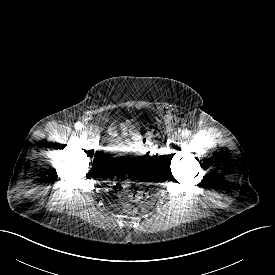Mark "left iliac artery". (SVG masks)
<instances>
[{
    "label": "left iliac artery",
    "mask_w": 275,
    "mask_h": 275,
    "mask_svg": "<svg viewBox=\"0 0 275 275\" xmlns=\"http://www.w3.org/2000/svg\"><path fill=\"white\" fill-rule=\"evenodd\" d=\"M190 135H191V132L189 130L185 129V130L182 131V136L183 137H188Z\"/></svg>",
    "instance_id": "obj_1"
}]
</instances>
